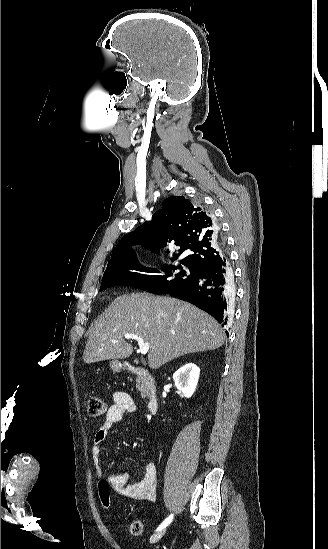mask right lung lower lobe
I'll return each instance as SVG.
<instances>
[{
  "mask_svg": "<svg viewBox=\"0 0 328 549\" xmlns=\"http://www.w3.org/2000/svg\"><path fill=\"white\" fill-rule=\"evenodd\" d=\"M233 273L227 257L195 270L191 280L160 294H170L193 303L212 315L222 326L227 324L228 293L233 291ZM227 333V332H226Z\"/></svg>",
  "mask_w": 328,
  "mask_h": 549,
  "instance_id": "obj_1",
  "label": "right lung lower lobe"
}]
</instances>
